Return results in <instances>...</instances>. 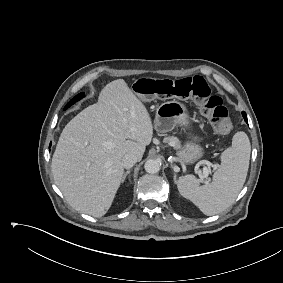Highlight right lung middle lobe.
Returning <instances> with one entry per match:
<instances>
[{
    "label": "right lung middle lobe",
    "mask_w": 283,
    "mask_h": 283,
    "mask_svg": "<svg viewBox=\"0 0 283 283\" xmlns=\"http://www.w3.org/2000/svg\"><path fill=\"white\" fill-rule=\"evenodd\" d=\"M82 97H84V93H80V94L76 95L72 100H70V102H68V104L65 106L64 109L69 108L72 104H74L76 101L80 100Z\"/></svg>",
    "instance_id": "obj_1"
}]
</instances>
